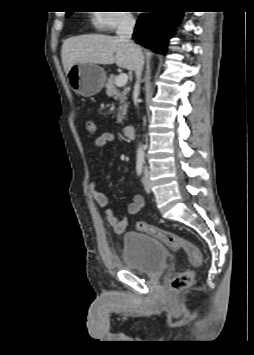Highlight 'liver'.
Listing matches in <instances>:
<instances>
[{
    "label": "liver",
    "mask_w": 254,
    "mask_h": 355,
    "mask_svg": "<svg viewBox=\"0 0 254 355\" xmlns=\"http://www.w3.org/2000/svg\"><path fill=\"white\" fill-rule=\"evenodd\" d=\"M66 73L78 63L113 64L133 71L135 59L131 48L117 36L87 34L64 41L61 50Z\"/></svg>",
    "instance_id": "obj_1"
}]
</instances>
